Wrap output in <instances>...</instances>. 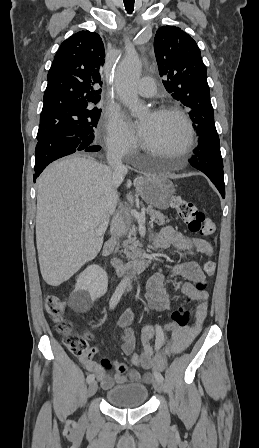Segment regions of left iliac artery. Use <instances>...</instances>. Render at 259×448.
<instances>
[{"label":"left iliac artery","instance_id":"44dca946","mask_svg":"<svg viewBox=\"0 0 259 448\" xmlns=\"http://www.w3.org/2000/svg\"><path fill=\"white\" fill-rule=\"evenodd\" d=\"M131 286H129V289L131 290ZM165 341V335H164V331L161 328V326L156 325V340H155V350L158 351L162 345L164 344ZM155 378L156 380L162 381L164 380L163 376L161 375V373L156 372L155 374Z\"/></svg>","mask_w":259,"mask_h":448}]
</instances>
